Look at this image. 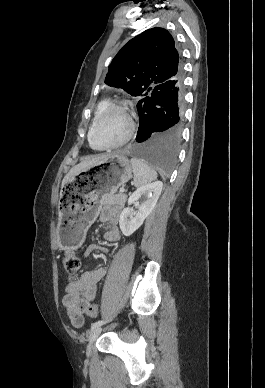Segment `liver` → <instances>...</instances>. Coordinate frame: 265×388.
Returning <instances> with one entry per match:
<instances>
[{
  "label": "liver",
  "mask_w": 265,
  "mask_h": 388,
  "mask_svg": "<svg viewBox=\"0 0 265 388\" xmlns=\"http://www.w3.org/2000/svg\"><path fill=\"white\" fill-rule=\"evenodd\" d=\"M107 156H115V154H105V156H101V158H91V160H85V162H80V164H77V166H74V168H71L70 172L66 174L65 178L62 180V186H65L73 176H77V174H80V172H84V170H88V168H92V166H95V164H98L100 160H103V158H107Z\"/></svg>",
  "instance_id": "obj_1"
}]
</instances>
